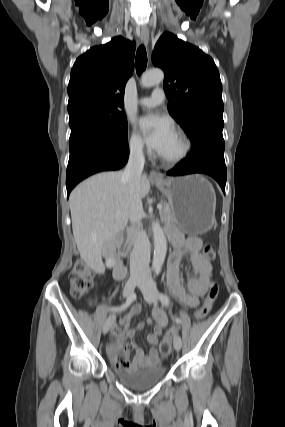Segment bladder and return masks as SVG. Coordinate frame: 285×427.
Listing matches in <instances>:
<instances>
[{"label":"bladder","instance_id":"31cf9c89","mask_svg":"<svg viewBox=\"0 0 285 427\" xmlns=\"http://www.w3.org/2000/svg\"><path fill=\"white\" fill-rule=\"evenodd\" d=\"M116 376L127 386L135 390H146L155 386L166 374L163 365L153 368L131 370L124 366H114Z\"/></svg>","mask_w":285,"mask_h":427}]
</instances>
